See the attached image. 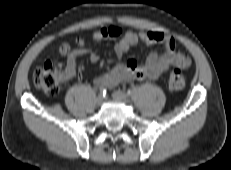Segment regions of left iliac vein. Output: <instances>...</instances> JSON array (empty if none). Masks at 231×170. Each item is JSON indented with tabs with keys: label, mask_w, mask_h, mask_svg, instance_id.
Returning a JSON list of instances; mask_svg holds the SVG:
<instances>
[{
	"label": "left iliac vein",
	"mask_w": 231,
	"mask_h": 170,
	"mask_svg": "<svg viewBox=\"0 0 231 170\" xmlns=\"http://www.w3.org/2000/svg\"><path fill=\"white\" fill-rule=\"evenodd\" d=\"M112 97L116 101H124V102H126L127 99H128V96L125 93H123L122 91H119V90L114 91L112 93Z\"/></svg>",
	"instance_id": "4c4485c4"
}]
</instances>
